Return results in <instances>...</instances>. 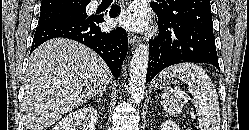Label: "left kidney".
I'll list each match as a JSON object with an SVG mask.
<instances>
[{"mask_svg":"<svg viewBox=\"0 0 249 130\" xmlns=\"http://www.w3.org/2000/svg\"><path fill=\"white\" fill-rule=\"evenodd\" d=\"M161 130H180L179 126L172 120H166L164 123H162Z\"/></svg>","mask_w":249,"mask_h":130,"instance_id":"obj_1","label":"left kidney"}]
</instances>
